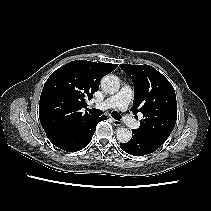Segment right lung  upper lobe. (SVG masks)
I'll return each mask as SVG.
<instances>
[{
    "label": "right lung upper lobe",
    "mask_w": 211,
    "mask_h": 211,
    "mask_svg": "<svg viewBox=\"0 0 211 211\" xmlns=\"http://www.w3.org/2000/svg\"><path fill=\"white\" fill-rule=\"evenodd\" d=\"M117 67L116 64L76 60L50 75L40 96L39 118L54 145L94 118L80 110L99 89L101 79Z\"/></svg>",
    "instance_id": "cb5924a9"
}]
</instances>
